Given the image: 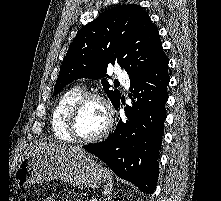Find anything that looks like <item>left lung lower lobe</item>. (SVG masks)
Here are the masks:
<instances>
[{"label": "left lung lower lobe", "instance_id": "obj_1", "mask_svg": "<svg viewBox=\"0 0 221 201\" xmlns=\"http://www.w3.org/2000/svg\"><path fill=\"white\" fill-rule=\"evenodd\" d=\"M169 60L165 53L141 75L130 79L132 105L125 107L126 120L97 144L84 149L96 155L122 179L152 194L158 181V156L164 134ZM122 100V98H120ZM120 100L114 105L118 109Z\"/></svg>", "mask_w": 221, "mask_h": 201}]
</instances>
